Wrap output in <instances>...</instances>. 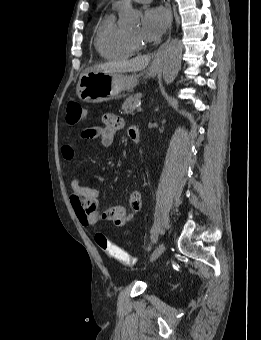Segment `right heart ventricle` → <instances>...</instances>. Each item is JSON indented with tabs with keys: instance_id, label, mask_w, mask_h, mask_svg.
I'll use <instances>...</instances> for the list:
<instances>
[{
	"instance_id": "right-heart-ventricle-1",
	"label": "right heart ventricle",
	"mask_w": 261,
	"mask_h": 340,
	"mask_svg": "<svg viewBox=\"0 0 261 340\" xmlns=\"http://www.w3.org/2000/svg\"><path fill=\"white\" fill-rule=\"evenodd\" d=\"M94 44L99 55L106 60L125 59L136 52L127 33L116 25L113 11L108 12L99 23Z\"/></svg>"
}]
</instances>
